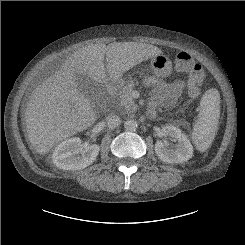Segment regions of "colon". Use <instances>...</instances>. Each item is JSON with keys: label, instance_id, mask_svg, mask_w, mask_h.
Wrapping results in <instances>:
<instances>
[{"label": "colon", "instance_id": "colon-1", "mask_svg": "<svg viewBox=\"0 0 245 245\" xmlns=\"http://www.w3.org/2000/svg\"><path fill=\"white\" fill-rule=\"evenodd\" d=\"M175 66L187 74L186 90L190 97L200 95L205 74L200 64L196 63L193 56L187 51H179L176 54Z\"/></svg>", "mask_w": 245, "mask_h": 245}]
</instances>
